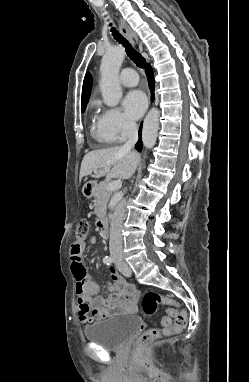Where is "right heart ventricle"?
I'll list each match as a JSON object with an SVG mask.
<instances>
[{"label":"right heart ventricle","mask_w":249,"mask_h":382,"mask_svg":"<svg viewBox=\"0 0 249 382\" xmlns=\"http://www.w3.org/2000/svg\"><path fill=\"white\" fill-rule=\"evenodd\" d=\"M93 132H94V134H95L99 139H101V140H103V141H105V142H108V143L113 142L110 138H108V137L104 134V132H103V130H102V128H101V126H100V124H99L98 121H96V122L94 123V125H93Z\"/></svg>","instance_id":"e07e8e85"}]
</instances>
